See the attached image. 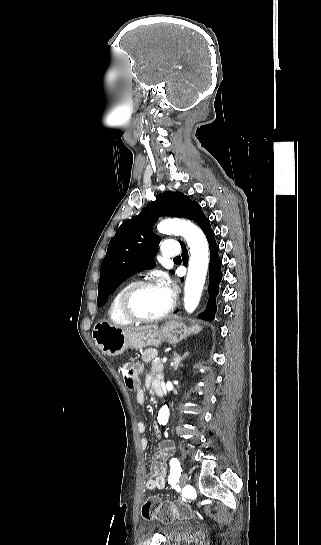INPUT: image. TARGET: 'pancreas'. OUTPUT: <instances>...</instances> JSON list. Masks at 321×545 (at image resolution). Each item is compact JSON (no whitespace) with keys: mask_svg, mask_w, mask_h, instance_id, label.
<instances>
[{"mask_svg":"<svg viewBox=\"0 0 321 545\" xmlns=\"http://www.w3.org/2000/svg\"><path fill=\"white\" fill-rule=\"evenodd\" d=\"M165 367L163 365V363H160V361H154V363H152V367H151V373H156V375H162L163 371H164Z\"/></svg>","mask_w":321,"mask_h":545,"instance_id":"1","label":"pancreas"}]
</instances>
